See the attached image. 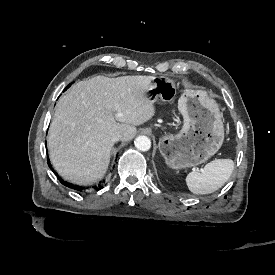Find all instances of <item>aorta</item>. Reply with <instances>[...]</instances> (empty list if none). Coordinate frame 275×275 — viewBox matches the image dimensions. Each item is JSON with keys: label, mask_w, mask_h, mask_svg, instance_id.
Returning a JSON list of instances; mask_svg holds the SVG:
<instances>
[{"label": "aorta", "mask_w": 275, "mask_h": 275, "mask_svg": "<svg viewBox=\"0 0 275 275\" xmlns=\"http://www.w3.org/2000/svg\"><path fill=\"white\" fill-rule=\"evenodd\" d=\"M135 147L137 150L146 152L151 148V141L147 136H139L135 139Z\"/></svg>", "instance_id": "aorta-1"}]
</instances>
